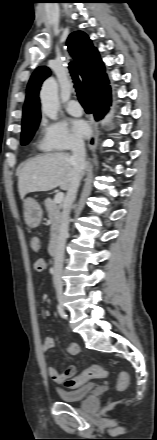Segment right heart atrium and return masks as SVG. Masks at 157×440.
<instances>
[{
  "label": "right heart atrium",
  "mask_w": 157,
  "mask_h": 440,
  "mask_svg": "<svg viewBox=\"0 0 157 440\" xmlns=\"http://www.w3.org/2000/svg\"><path fill=\"white\" fill-rule=\"evenodd\" d=\"M82 141L61 121L42 123L41 146L45 150H66L80 146Z\"/></svg>",
  "instance_id": "1"
}]
</instances>
